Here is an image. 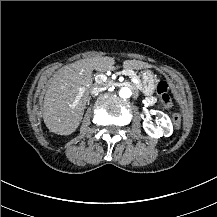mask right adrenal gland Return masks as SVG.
<instances>
[{"instance_id":"right-adrenal-gland-1","label":"right adrenal gland","mask_w":217,"mask_h":217,"mask_svg":"<svg viewBox=\"0 0 217 217\" xmlns=\"http://www.w3.org/2000/svg\"><path fill=\"white\" fill-rule=\"evenodd\" d=\"M90 99H91V97H89L88 99H87V103L89 104V102H90Z\"/></svg>"}]
</instances>
